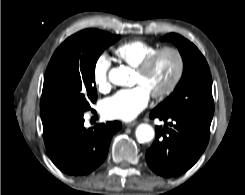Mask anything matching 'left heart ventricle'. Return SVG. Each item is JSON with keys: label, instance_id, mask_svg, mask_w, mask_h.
<instances>
[{"label": "left heart ventricle", "instance_id": "left-heart-ventricle-1", "mask_svg": "<svg viewBox=\"0 0 245 195\" xmlns=\"http://www.w3.org/2000/svg\"><path fill=\"white\" fill-rule=\"evenodd\" d=\"M176 69V59L171 53L162 54L150 70L134 75V84L143 86L150 94L163 90L171 81Z\"/></svg>", "mask_w": 245, "mask_h": 195}]
</instances>
